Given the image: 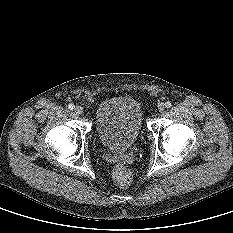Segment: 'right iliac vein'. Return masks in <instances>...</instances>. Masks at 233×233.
I'll use <instances>...</instances> for the list:
<instances>
[{"label":"right iliac vein","mask_w":233,"mask_h":233,"mask_svg":"<svg viewBox=\"0 0 233 233\" xmlns=\"http://www.w3.org/2000/svg\"><path fill=\"white\" fill-rule=\"evenodd\" d=\"M74 110H75V112H76L77 114H81V113L83 112V107H81V106H76Z\"/></svg>","instance_id":"right-iliac-vein-1"}]
</instances>
